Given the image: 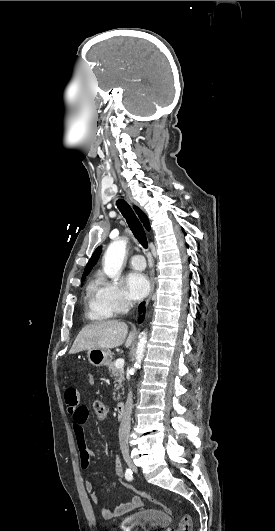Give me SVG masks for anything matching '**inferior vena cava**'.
<instances>
[{
  "label": "inferior vena cava",
  "instance_id": "602c4592",
  "mask_svg": "<svg viewBox=\"0 0 275 531\" xmlns=\"http://www.w3.org/2000/svg\"><path fill=\"white\" fill-rule=\"evenodd\" d=\"M125 307H126V313L129 311L130 303L129 301H125ZM131 415H132V391L129 389V393L127 395V401L122 417V421L120 423L119 427V443H120V449H128L129 445V435H130V423H131Z\"/></svg>",
  "mask_w": 275,
  "mask_h": 531
}]
</instances>
